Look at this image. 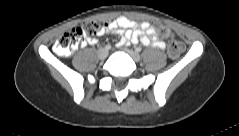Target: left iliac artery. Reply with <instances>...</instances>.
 I'll use <instances>...</instances> for the list:
<instances>
[{"label": "left iliac artery", "mask_w": 239, "mask_h": 136, "mask_svg": "<svg viewBox=\"0 0 239 136\" xmlns=\"http://www.w3.org/2000/svg\"><path fill=\"white\" fill-rule=\"evenodd\" d=\"M136 51H137V52H140V51H141V48L137 47V48H136Z\"/></svg>", "instance_id": "1"}]
</instances>
